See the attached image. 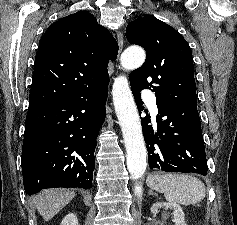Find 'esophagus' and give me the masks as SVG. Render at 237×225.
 Masks as SVG:
<instances>
[{"mask_svg":"<svg viewBox=\"0 0 237 225\" xmlns=\"http://www.w3.org/2000/svg\"><path fill=\"white\" fill-rule=\"evenodd\" d=\"M116 39H117V42H118L119 55H120L121 52H122V49H123V44H124L123 33L121 31H117Z\"/></svg>","mask_w":237,"mask_h":225,"instance_id":"34e87169","label":"esophagus"}]
</instances>
